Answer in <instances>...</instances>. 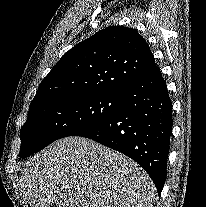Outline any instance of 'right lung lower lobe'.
<instances>
[{
    "instance_id": "1",
    "label": "right lung lower lobe",
    "mask_w": 206,
    "mask_h": 207,
    "mask_svg": "<svg viewBox=\"0 0 206 207\" xmlns=\"http://www.w3.org/2000/svg\"><path fill=\"white\" fill-rule=\"evenodd\" d=\"M172 125V102L157 67L125 90L121 107L111 117L76 136L132 158L149 174L160 195L166 180Z\"/></svg>"
}]
</instances>
